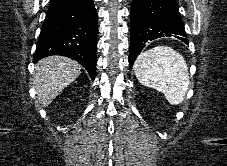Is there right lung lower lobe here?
I'll return each mask as SVG.
<instances>
[{"mask_svg":"<svg viewBox=\"0 0 227 166\" xmlns=\"http://www.w3.org/2000/svg\"><path fill=\"white\" fill-rule=\"evenodd\" d=\"M97 30L93 0H50L33 62L66 56L82 64L94 80Z\"/></svg>","mask_w":227,"mask_h":166,"instance_id":"obj_1","label":"right lung lower lobe"}]
</instances>
